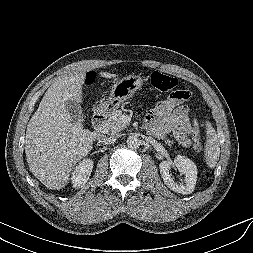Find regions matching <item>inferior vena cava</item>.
I'll return each mask as SVG.
<instances>
[{
  "instance_id": "obj_1",
  "label": "inferior vena cava",
  "mask_w": 253,
  "mask_h": 253,
  "mask_svg": "<svg viewBox=\"0 0 253 253\" xmlns=\"http://www.w3.org/2000/svg\"><path fill=\"white\" fill-rule=\"evenodd\" d=\"M116 138H117V136L113 135V134H111L110 136L103 135L102 137H100L99 143L100 144H111L116 141Z\"/></svg>"
}]
</instances>
